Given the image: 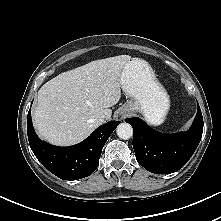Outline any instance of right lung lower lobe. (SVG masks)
I'll return each instance as SVG.
<instances>
[{"mask_svg":"<svg viewBox=\"0 0 221 221\" xmlns=\"http://www.w3.org/2000/svg\"><path fill=\"white\" fill-rule=\"evenodd\" d=\"M120 121H111L98 127L84 141L69 147H57L41 141L27 116V133L30 147L36 158L51 173L63 180H77L92 174L99 165L103 146Z\"/></svg>","mask_w":221,"mask_h":221,"instance_id":"98d812e1","label":"right lung lower lobe"}]
</instances>
